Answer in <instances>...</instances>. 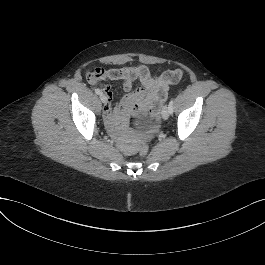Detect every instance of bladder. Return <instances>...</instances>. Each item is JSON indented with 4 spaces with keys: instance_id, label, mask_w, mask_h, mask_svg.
I'll use <instances>...</instances> for the list:
<instances>
[{
    "instance_id": "1",
    "label": "bladder",
    "mask_w": 265,
    "mask_h": 265,
    "mask_svg": "<svg viewBox=\"0 0 265 265\" xmlns=\"http://www.w3.org/2000/svg\"><path fill=\"white\" fill-rule=\"evenodd\" d=\"M155 122V119L154 118H151L150 119V123L153 124Z\"/></svg>"
}]
</instances>
